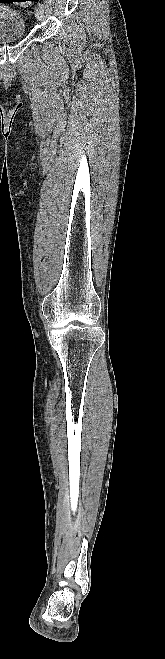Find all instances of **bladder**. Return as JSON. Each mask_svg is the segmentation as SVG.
Masks as SVG:
<instances>
[{"label":"bladder","instance_id":"31cf9c89","mask_svg":"<svg viewBox=\"0 0 165 659\" xmlns=\"http://www.w3.org/2000/svg\"><path fill=\"white\" fill-rule=\"evenodd\" d=\"M25 36L23 19L12 9L0 7V41L20 39Z\"/></svg>","mask_w":165,"mask_h":659}]
</instances>
